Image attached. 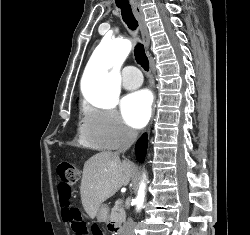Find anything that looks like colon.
Listing matches in <instances>:
<instances>
[{
	"mask_svg": "<svg viewBox=\"0 0 250 235\" xmlns=\"http://www.w3.org/2000/svg\"><path fill=\"white\" fill-rule=\"evenodd\" d=\"M59 177L58 195L62 206V217L68 223L75 235H86L87 229L78 209L70 205L72 186L78 181L79 169L71 162L63 161L57 166Z\"/></svg>",
	"mask_w": 250,
	"mask_h": 235,
	"instance_id": "5ec220e1",
	"label": "colon"
}]
</instances>
